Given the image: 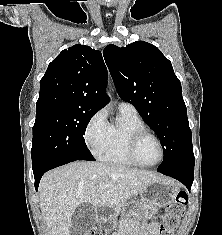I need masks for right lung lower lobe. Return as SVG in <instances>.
<instances>
[{"mask_svg": "<svg viewBox=\"0 0 222 235\" xmlns=\"http://www.w3.org/2000/svg\"><path fill=\"white\" fill-rule=\"evenodd\" d=\"M73 161H76V160L55 162V163L46 165V166H44L43 168H41V169H39V170H37V171H34L35 188H36V190L38 189V185H39V182H40V179H41L42 175H43L46 171H48V170H50V169H53V168H56V167H58V166L67 164V163H69V162H73Z\"/></svg>", "mask_w": 222, "mask_h": 235, "instance_id": "1", "label": "right lung lower lobe"}]
</instances>
